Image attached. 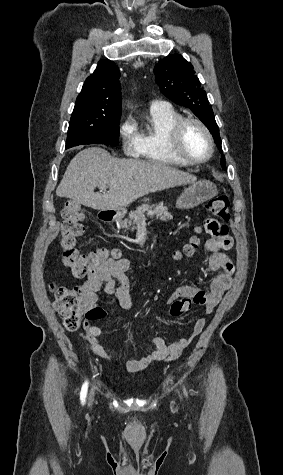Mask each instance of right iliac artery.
Wrapping results in <instances>:
<instances>
[{
	"instance_id": "obj_1",
	"label": "right iliac artery",
	"mask_w": 283,
	"mask_h": 475,
	"mask_svg": "<svg viewBox=\"0 0 283 475\" xmlns=\"http://www.w3.org/2000/svg\"><path fill=\"white\" fill-rule=\"evenodd\" d=\"M87 389H88V383L85 382L82 386L81 393H80V399H81L82 403L85 402V398H86V395H87Z\"/></svg>"
}]
</instances>
